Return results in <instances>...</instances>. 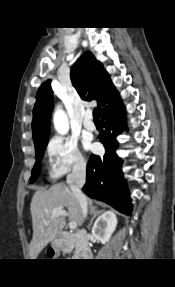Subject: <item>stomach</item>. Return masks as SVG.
I'll use <instances>...</instances> for the list:
<instances>
[{
    "mask_svg": "<svg viewBox=\"0 0 175 287\" xmlns=\"http://www.w3.org/2000/svg\"><path fill=\"white\" fill-rule=\"evenodd\" d=\"M51 245L55 249H60L63 245V242L59 237H56L54 240L51 241Z\"/></svg>",
    "mask_w": 175,
    "mask_h": 287,
    "instance_id": "0dacf381",
    "label": "stomach"
}]
</instances>
